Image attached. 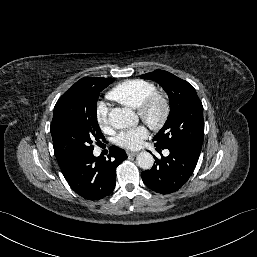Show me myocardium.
Masks as SVG:
<instances>
[{"label":"myocardium","mask_w":257,"mask_h":257,"mask_svg":"<svg viewBox=\"0 0 257 257\" xmlns=\"http://www.w3.org/2000/svg\"><path fill=\"white\" fill-rule=\"evenodd\" d=\"M155 109L160 110L158 118H154L152 113ZM171 113V103L168 96L164 93L154 92L147 97L140 107L138 114L152 129L159 130L167 123Z\"/></svg>","instance_id":"1"}]
</instances>
